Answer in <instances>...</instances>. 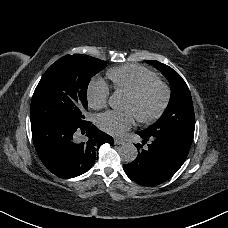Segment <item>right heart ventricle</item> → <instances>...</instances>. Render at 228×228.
I'll return each instance as SVG.
<instances>
[{"mask_svg":"<svg viewBox=\"0 0 228 228\" xmlns=\"http://www.w3.org/2000/svg\"><path fill=\"white\" fill-rule=\"evenodd\" d=\"M107 75L112 80L116 93H124L126 96L157 79L154 72L137 65L111 69Z\"/></svg>","mask_w":228,"mask_h":228,"instance_id":"obj_1","label":"right heart ventricle"}]
</instances>
